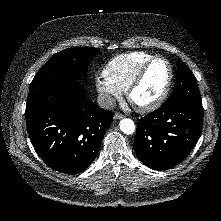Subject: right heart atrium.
Returning <instances> with one entry per match:
<instances>
[{"instance_id": "1", "label": "right heart atrium", "mask_w": 221, "mask_h": 221, "mask_svg": "<svg viewBox=\"0 0 221 221\" xmlns=\"http://www.w3.org/2000/svg\"><path fill=\"white\" fill-rule=\"evenodd\" d=\"M95 86L102 103L106 107H110L116 99L121 97L122 91L109 82L104 76L96 78Z\"/></svg>"}]
</instances>
